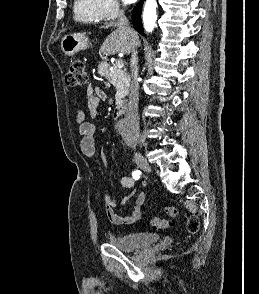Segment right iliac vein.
<instances>
[{
	"label": "right iliac vein",
	"mask_w": 259,
	"mask_h": 294,
	"mask_svg": "<svg viewBox=\"0 0 259 294\" xmlns=\"http://www.w3.org/2000/svg\"><path fill=\"white\" fill-rule=\"evenodd\" d=\"M134 160L136 162V164L138 165V167L140 169H142L143 171L146 172H151V166L149 165V163L146 161V159L138 152L135 151L134 152Z\"/></svg>",
	"instance_id": "obj_1"
}]
</instances>
